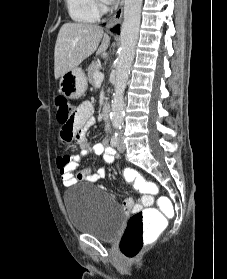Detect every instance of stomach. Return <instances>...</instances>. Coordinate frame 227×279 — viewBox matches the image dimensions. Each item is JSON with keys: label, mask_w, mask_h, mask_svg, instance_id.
I'll list each match as a JSON object with an SVG mask.
<instances>
[{"label": "stomach", "mask_w": 227, "mask_h": 279, "mask_svg": "<svg viewBox=\"0 0 227 279\" xmlns=\"http://www.w3.org/2000/svg\"><path fill=\"white\" fill-rule=\"evenodd\" d=\"M87 89V78L84 71L75 67L60 77L59 91L70 99L81 97Z\"/></svg>", "instance_id": "obj_1"}]
</instances>
